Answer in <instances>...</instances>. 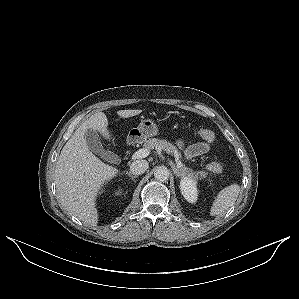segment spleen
<instances>
[{
	"mask_svg": "<svg viewBox=\"0 0 299 299\" xmlns=\"http://www.w3.org/2000/svg\"><path fill=\"white\" fill-rule=\"evenodd\" d=\"M239 192L240 186L237 184H232L221 190L212 203L210 215L219 216L224 214L231 206L234 205L238 198Z\"/></svg>",
	"mask_w": 299,
	"mask_h": 299,
	"instance_id": "1",
	"label": "spleen"
}]
</instances>
